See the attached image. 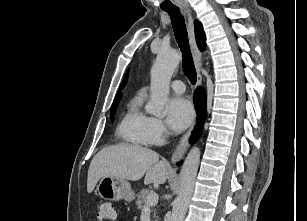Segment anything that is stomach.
<instances>
[{
  "mask_svg": "<svg viewBox=\"0 0 307 221\" xmlns=\"http://www.w3.org/2000/svg\"><path fill=\"white\" fill-rule=\"evenodd\" d=\"M97 192L102 198L111 201L121 199L132 201L135 198L130 183L116 177H102L97 185Z\"/></svg>",
  "mask_w": 307,
  "mask_h": 221,
  "instance_id": "0dacf381",
  "label": "stomach"
}]
</instances>
